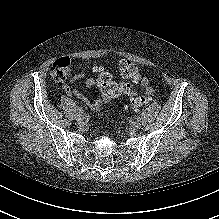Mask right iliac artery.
Masks as SVG:
<instances>
[{"instance_id":"82829eb1","label":"right iliac artery","mask_w":219,"mask_h":219,"mask_svg":"<svg viewBox=\"0 0 219 219\" xmlns=\"http://www.w3.org/2000/svg\"><path fill=\"white\" fill-rule=\"evenodd\" d=\"M78 112L79 113H83L84 112L83 108L82 107H78Z\"/></svg>"}]
</instances>
